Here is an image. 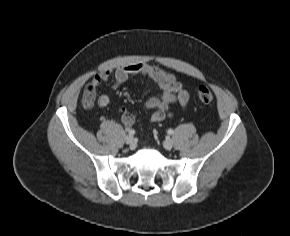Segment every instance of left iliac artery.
Instances as JSON below:
<instances>
[{
	"label": "left iliac artery",
	"mask_w": 290,
	"mask_h": 236,
	"mask_svg": "<svg viewBox=\"0 0 290 236\" xmlns=\"http://www.w3.org/2000/svg\"><path fill=\"white\" fill-rule=\"evenodd\" d=\"M173 133H174L173 129H169V130H168V134H169V135H172Z\"/></svg>",
	"instance_id": "obj_1"
}]
</instances>
